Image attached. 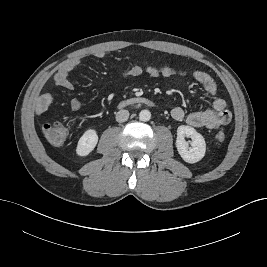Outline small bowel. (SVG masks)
<instances>
[{"label": "small bowel", "instance_id": "small-bowel-1", "mask_svg": "<svg viewBox=\"0 0 267 267\" xmlns=\"http://www.w3.org/2000/svg\"><path fill=\"white\" fill-rule=\"evenodd\" d=\"M95 56L99 59L105 57V53L99 51L95 53ZM79 58H73L63 66H61L54 76L55 85L63 90L70 91L73 89V85L69 80L70 73L80 64ZM137 69L143 67V65H136ZM175 74L184 76L186 72L182 69L177 70ZM161 74L150 75L151 77H158ZM174 75V74H173ZM140 75H137L138 77ZM170 76V75H169ZM193 78L202 85L204 90L214 97L211 108L201 109L192 112L188 115L182 107H174L170 114L175 120H183L186 118L188 125L196 128L205 127L208 129H218L223 125H226L231 120V113L226 107V102L223 98L218 96V86L214 77L203 69H197L193 72ZM54 101V98L50 94H44L38 104V112H44ZM70 107L73 111H78L82 107L80 99L74 98L70 102Z\"/></svg>", "mask_w": 267, "mask_h": 267}]
</instances>
